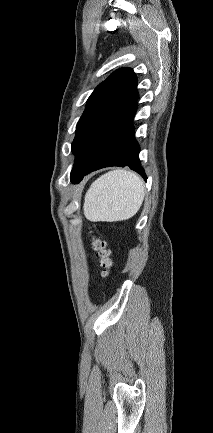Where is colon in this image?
Segmentation results:
<instances>
[{"instance_id": "5ec220e1", "label": "colon", "mask_w": 213, "mask_h": 433, "mask_svg": "<svg viewBox=\"0 0 213 433\" xmlns=\"http://www.w3.org/2000/svg\"><path fill=\"white\" fill-rule=\"evenodd\" d=\"M91 245L99 261L100 274L103 278H106L109 276L113 266L111 252L107 246V242L101 237L92 235Z\"/></svg>"}]
</instances>
